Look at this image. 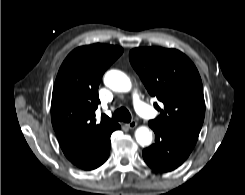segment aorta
<instances>
[{
  "label": "aorta",
  "mask_w": 245,
  "mask_h": 195,
  "mask_svg": "<svg viewBox=\"0 0 245 195\" xmlns=\"http://www.w3.org/2000/svg\"><path fill=\"white\" fill-rule=\"evenodd\" d=\"M104 84L116 92H128L131 89V81L126 74L119 70H110L105 74ZM135 138L142 147L149 146L152 142V132L144 126L137 128Z\"/></svg>",
  "instance_id": "762f6f07"
}]
</instances>
